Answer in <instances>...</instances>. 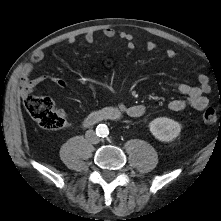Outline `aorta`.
I'll use <instances>...</instances> for the list:
<instances>
[{
	"instance_id": "aorta-1",
	"label": "aorta",
	"mask_w": 221,
	"mask_h": 221,
	"mask_svg": "<svg viewBox=\"0 0 221 221\" xmlns=\"http://www.w3.org/2000/svg\"><path fill=\"white\" fill-rule=\"evenodd\" d=\"M96 133L100 137H106L109 133V129L105 124H99L96 128Z\"/></svg>"
}]
</instances>
